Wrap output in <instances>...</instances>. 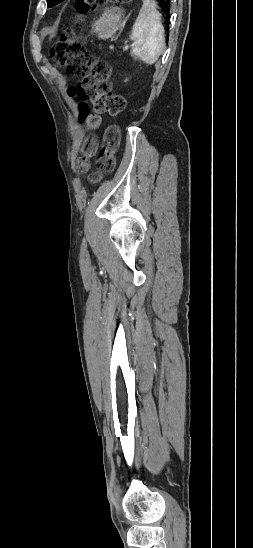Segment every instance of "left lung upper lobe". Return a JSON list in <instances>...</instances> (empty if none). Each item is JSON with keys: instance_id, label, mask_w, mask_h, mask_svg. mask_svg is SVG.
<instances>
[{"instance_id": "left-lung-upper-lobe-1", "label": "left lung upper lobe", "mask_w": 253, "mask_h": 548, "mask_svg": "<svg viewBox=\"0 0 253 548\" xmlns=\"http://www.w3.org/2000/svg\"><path fill=\"white\" fill-rule=\"evenodd\" d=\"M60 1H62V0H47V6L48 7H53V6L57 5Z\"/></svg>"}]
</instances>
